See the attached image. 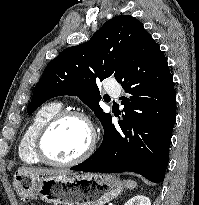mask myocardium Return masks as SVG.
<instances>
[{
    "mask_svg": "<svg viewBox=\"0 0 199 205\" xmlns=\"http://www.w3.org/2000/svg\"><path fill=\"white\" fill-rule=\"evenodd\" d=\"M67 118H77L82 120L88 128L89 140L86 148L76 157L66 160L59 161L49 157L45 151V138L50 130L58 124L60 121ZM96 147V131L89 119V117L81 111L78 110H60L54 114L49 120H47L41 128L38 130L35 141H34V152L39 160L45 164L57 166V167H68L78 164L92 155Z\"/></svg>",
    "mask_w": 199,
    "mask_h": 205,
    "instance_id": "1",
    "label": "myocardium"
}]
</instances>
